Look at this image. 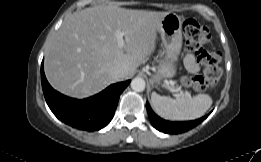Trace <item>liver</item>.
Here are the masks:
<instances>
[{"label": "liver", "mask_w": 261, "mask_h": 162, "mask_svg": "<svg viewBox=\"0 0 261 162\" xmlns=\"http://www.w3.org/2000/svg\"><path fill=\"white\" fill-rule=\"evenodd\" d=\"M168 12L95 6L66 18L52 37L44 62L50 84L66 95L85 98L132 77L155 50L156 32ZM116 30L125 32L120 48ZM125 66L117 78L113 69Z\"/></svg>", "instance_id": "obj_1"}]
</instances>
